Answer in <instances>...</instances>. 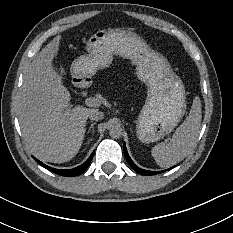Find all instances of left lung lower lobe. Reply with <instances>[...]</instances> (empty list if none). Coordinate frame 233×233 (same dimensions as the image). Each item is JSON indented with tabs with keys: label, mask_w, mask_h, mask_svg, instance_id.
Wrapping results in <instances>:
<instances>
[{
	"label": "left lung lower lobe",
	"mask_w": 233,
	"mask_h": 233,
	"mask_svg": "<svg viewBox=\"0 0 233 233\" xmlns=\"http://www.w3.org/2000/svg\"><path fill=\"white\" fill-rule=\"evenodd\" d=\"M123 148H124V154H125V158H126L127 162L129 163V165H130L137 173L142 174V175H155V174H159V173H162V172H164V171H167V170H164V171H147V170H144V169L139 168L138 166H136V165L134 164V162H133V161L131 160V158L129 157L125 144H124Z\"/></svg>",
	"instance_id": "1"
}]
</instances>
